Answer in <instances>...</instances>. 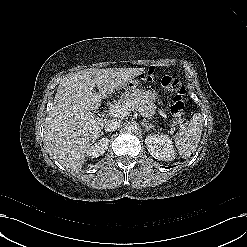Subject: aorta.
Here are the masks:
<instances>
[{
	"instance_id": "1",
	"label": "aorta",
	"mask_w": 247,
	"mask_h": 247,
	"mask_svg": "<svg viewBox=\"0 0 247 247\" xmlns=\"http://www.w3.org/2000/svg\"><path fill=\"white\" fill-rule=\"evenodd\" d=\"M126 129L129 132H137L139 129V124L136 121L128 122L126 125Z\"/></svg>"
}]
</instances>
